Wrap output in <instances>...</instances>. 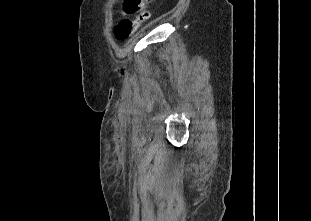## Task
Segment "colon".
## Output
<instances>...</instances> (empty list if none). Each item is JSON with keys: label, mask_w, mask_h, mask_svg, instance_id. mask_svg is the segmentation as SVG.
Masks as SVG:
<instances>
[{"label": "colon", "mask_w": 311, "mask_h": 221, "mask_svg": "<svg viewBox=\"0 0 311 221\" xmlns=\"http://www.w3.org/2000/svg\"><path fill=\"white\" fill-rule=\"evenodd\" d=\"M148 1L149 0H124L125 12L134 15V20L124 22L120 20L118 22L114 28V35L117 39L123 40L127 38L140 25L149 21L151 13L145 8ZM115 16L119 17L116 11Z\"/></svg>", "instance_id": "obj_1"}]
</instances>
